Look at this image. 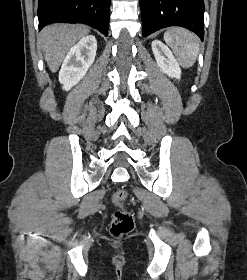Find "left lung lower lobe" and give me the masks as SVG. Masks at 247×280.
<instances>
[{
    "mask_svg": "<svg viewBox=\"0 0 247 280\" xmlns=\"http://www.w3.org/2000/svg\"><path fill=\"white\" fill-rule=\"evenodd\" d=\"M143 36L169 26H181L204 37L203 0H139Z\"/></svg>",
    "mask_w": 247,
    "mask_h": 280,
    "instance_id": "0a47b994",
    "label": "left lung lower lobe"
}]
</instances>
